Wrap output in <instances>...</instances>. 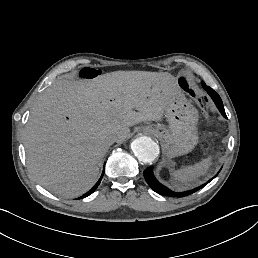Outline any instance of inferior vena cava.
Here are the masks:
<instances>
[{
  "label": "inferior vena cava",
  "mask_w": 258,
  "mask_h": 258,
  "mask_svg": "<svg viewBox=\"0 0 258 258\" xmlns=\"http://www.w3.org/2000/svg\"><path fill=\"white\" fill-rule=\"evenodd\" d=\"M105 141L108 145H112L116 141H118L117 135L114 133H110L105 137Z\"/></svg>",
  "instance_id": "obj_1"
}]
</instances>
